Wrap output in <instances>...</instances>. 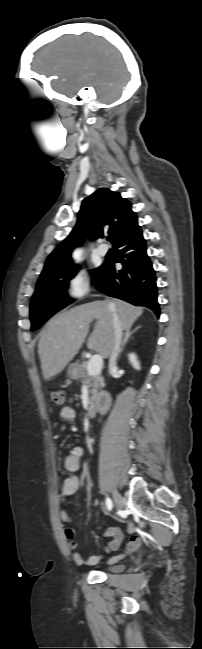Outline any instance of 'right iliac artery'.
I'll return each mask as SVG.
<instances>
[{"instance_id":"obj_1","label":"right iliac artery","mask_w":202,"mask_h":649,"mask_svg":"<svg viewBox=\"0 0 202 649\" xmlns=\"http://www.w3.org/2000/svg\"><path fill=\"white\" fill-rule=\"evenodd\" d=\"M105 502H106V506H107L108 510H112V508H113L112 500L107 497Z\"/></svg>"}]
</instances>
